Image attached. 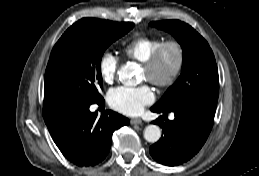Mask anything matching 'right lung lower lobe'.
I'll use <instances>...</instances> for the list:
<instances>
[{
    "mask_svg": "<svg viewBox=\"0 0 259 176\" xmlns=\"http://www.w3.org/2000/svg\"><path fill=\"white\" fill-rule=\"evenodd\" d=\"M104 103L101 98L94 102L56 99L43 105L44 121L62 154L78 166H93L108 154L113 132L129 120L106 110L97 118L90 112L91 104Z\"/></svg>",
    "mask_w": 259,
    "mask_h": 176,
    "instance_id": "98d812e1",
    "label": "right lung lower lobe"
}]
</instances>
